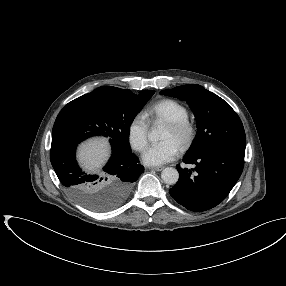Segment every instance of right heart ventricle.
<instances>
[{
    "instance_id": "e07e8e85",
    "label": "right heart ventricle",
    "mask_w": 286,
    "mask_h": 286,
    "mask_svg": "<svg viewBox=\"0 0 286 286\" xmlns=\"http://www.w3.org/2000/svg\"><path fill=\"white\" fill-rule=\"evenodd\" d=\"M146 115L154 123H167L173 120L187 119L189 111L185 105L176 100L162 99L151 104L146 111Z\"/></svg>"
}]
</instances>
